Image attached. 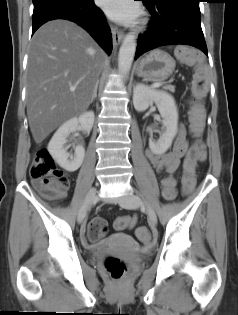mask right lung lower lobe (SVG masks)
Here are the masks:
<instances>
[{
  "label": "right lung lower lobe",
  "mask_w": 238,
  "mask_h": 315,
  "mask_svg": "<svg viewBox=\"0 0 238 315\" xmlns=\"http://www.w3.org/2000/svg\"><path fill=\"white\" fill-rule=\"evenodd\" d=\"M32 34L53 19H66L87 30L108 53L112 51V35L105 16L94 0H33Z\"/></svg>",
  "instance_id": "98d812e1"
}]
</instances>
